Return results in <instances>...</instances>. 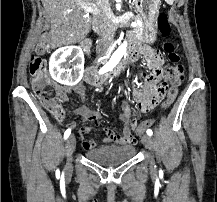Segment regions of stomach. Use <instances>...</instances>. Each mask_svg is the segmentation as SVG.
I'll return each mask as SVG.
<instances>
[{"label":"stomach","instance_id":"1","mask_svg":"<svg viewBox=\"0 0 217 202\" xmlns=\"http://www.w3.org/2000/svg\"><path fill=\"white\" fill-rule=\"evenodd\" d=\"M135 8L143 20V40L145 44L156 42V22L159 16L161 0H134Z\"/></svg>","mask_w":217,"mask_h":202}]
</instances>
